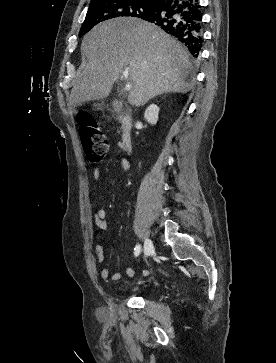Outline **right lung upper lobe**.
<instances>
[{"mask_svg":"<svg viewBox=\"0 0 276 363\" xmlns=\"http://www.w3.org/2000/svg\"><path fill=\"white\" fill-rule=\"evenodd\" d=\"M96 1H100V0H92L91 3L96 2ZM137 1H144V2H148L154 6H159L163 0H137Z\"/></svg>","mask_w":276,"mask_h":363,"instance_id":"1","label":"right lung upper lobe"}]
</instances>
